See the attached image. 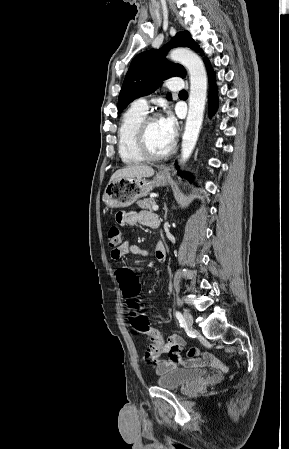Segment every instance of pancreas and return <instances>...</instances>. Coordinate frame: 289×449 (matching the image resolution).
<instances>
[{
	"mask_svg": "<svg viewBox=\"0 0 289 449\" xmlns=\"http://www.w3.org/2000/svg\"><path fill=\"white\" fill-rule=\"evenodd\" d=\"M137 204L142 209L152 210V207H153V205L156 204V202L153 198H148V199L138 201Z\"/></svg>",
	"mask_w": 289,
	"mask_h": 449,
	"instance_id": "pancreas-1",
	"label": "pancreas"
}]
</instances>
